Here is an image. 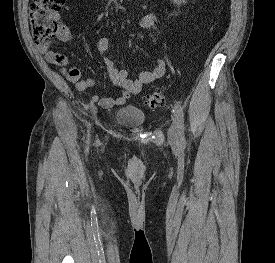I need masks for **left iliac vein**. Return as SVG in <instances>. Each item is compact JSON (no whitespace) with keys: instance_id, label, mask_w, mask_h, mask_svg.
I'll return each mask as SVG.
<instances>
[{"instance_id":"obj_1","label":"left iliac vein","mask_w":275,"mask_h":263,"mask_svg":"<svg viewBox=\"0 0 275 263\" xmlns=\"http://www.w3.org/2000/svg\"><path fill=\"white\" fill-rule=\"evenodd\" d=\"M168 140L171 144H177L179 140V128L176 118L174 119L173 124L168 131Z\"/></svg>"}]
</instances>
